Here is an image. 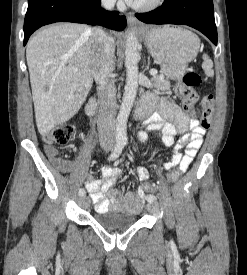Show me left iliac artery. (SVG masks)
<instances>
[{"label": "left iliac artery", "instance_id": "44dca946", "mask_svg": "<svg viewBox=\"0 0 247 275\" xmlns=\"http://www.w3.org/2000/svg\"><path fill=\"white\" fill-rule=\"evenodd\" d=\"M123 143L126 144L127 140H123ZM146 200L148 202L155 201V200H157V197L155 195H153V194H150V195L146 196Z\"/></svg>", "mask_w": 247, "mask_h": 275}]
</instances>
